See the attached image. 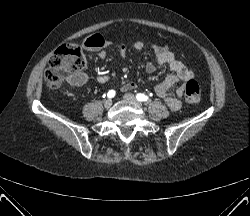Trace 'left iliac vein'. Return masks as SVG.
<instances>
[{
  "label": "left iliac vein",
  "instance_id": "4c4485c4",
  "mask_svg": "<svg viewBox=\"0 0 250 216\" xmlns=\"http://www.w3.org/2000/svg\"><path fill=\"white\" fill-rule=\"evenodd\" d=\"M123 98L126 100V101H130V102H134L135 104H137L138 106H141V102H139L137 100V98L133 95V94H130V93H127L123 96Z\"/></svg>",
  "mask_w": 250,
  "mask_h": 216
}]
</instances>
